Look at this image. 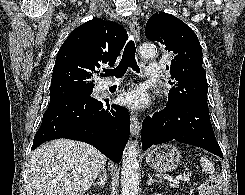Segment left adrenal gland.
Segmentation results:
<instances>
[{"label": "left adrenal gland", "mask_w": 245, "mask_h": 195, "mask_svg": "<svg viewBox=\"0 0 245 195\" xmlns=\"http://www.w3.org/2000/svg\"><path fill=\"white\" fill-rule=\"evenodd\" d=\"M148 178H149V181H148V183H147L148 186L151 185V184L154 183V182H162L161 180H158V179L153 178L152 175H151L150 173L148 174Z\"/></svg>", "instance_id": "left-adrenal-gland-1"}]
</instances>
